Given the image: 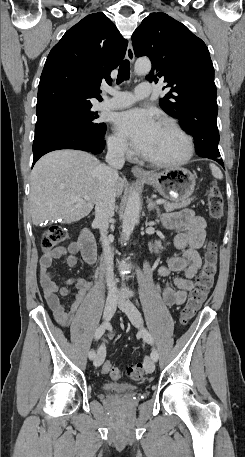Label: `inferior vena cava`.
Here are the masks:
<instances>
[{
	"mask_svg": "<svg viewBox=\"0 0 245 457\" xmlns=\"http://www.w3.org/2000/svg\"><path fill=\"white\" fill-rule=\"evenodd\" d=\"M127 148L125 138H118L112 144H108V152L106 154V162L109 166H99V192L95 206V224L100 229V239L105 255L107 265L106 269V283L109 295L117 293L116 283L113 277V261L111 247L107 235L109 218L114 216L115 208V184L119 178L118 170L122 168L125 158L124 152Z\"/></svg>",
	"mask_w": 245,
	"mask_h": 457,
	"instance_id": "1",
	"label": "inferior vena cava"
}]
</instances>
